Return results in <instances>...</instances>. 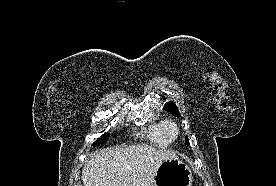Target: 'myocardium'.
Here are the masks:
<instances>
[{
    "instance_id": "f54148a6",
    "label": "myocardium",
    "mask_w": 276,
    "mask_h": 186,
    "mask_svg": "<svg viewBox=\"0 0 276 186\" xmlns=\"http://www.w3.org/2000/svg\"><path fill=\"white\" fill-rule=\"evenodd\" d=\"M163 133L169 142L175 141L179 136V128L173 120L163 122Z\"/></svg>"
}]
</instances>
